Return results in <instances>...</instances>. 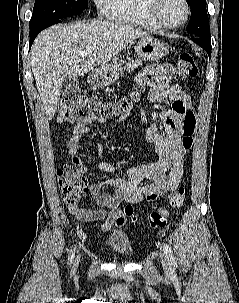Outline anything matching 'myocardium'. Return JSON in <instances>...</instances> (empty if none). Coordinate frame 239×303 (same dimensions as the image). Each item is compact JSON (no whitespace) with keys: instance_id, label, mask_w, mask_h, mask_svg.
<instances>
[{"instance_id":"obj_1","label":"myocardium","mask_w":239,"mask_h":303,"mask_svg":"<svg viewBox=\"0 0 239 303\" xmlns=\"http://www.w3.org/2000/svg\"><path fill=\"white\" fill-rule=\"evenodd\" d=\"M182 2L184 4V8H185V17L178 24H168L161 19V17L159 16V13H158V7H159L160 0H147L146 11H147L150 19L152 20V22L154 24H156L158 27L164 28V29H178L187 23V21L190 17V13H191L188 0H182Z\"/></svg>"}]
</instances>
